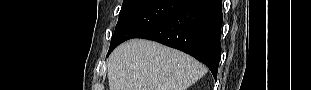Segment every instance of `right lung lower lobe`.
I'll return each mask as SVG.
<instances>
[{
    "label": "right lung lower lobe",
    "instance_id": "obj_1",
    "mask_svg": "<svg viewBox=\"0 0 311 90\" xmlns=\"http://www.w3.org/2000/svg\"><path fill=\"white\" fill-rule=\"evenodd\" d=\"M222 0H188L159 24L135 38L160 42L190 54L217 78L221 57Z\"/></svg>",
    "mask_w": 311,
    "mask_h": 90
}]
</instances>
